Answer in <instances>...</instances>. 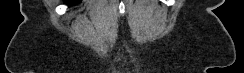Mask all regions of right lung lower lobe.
Masks as SVG:
<instances>
[{"mask_svg":"<svg viewBox=\"0 0 244 73\" xmlns=\"http://www.w3.org/2000/svg\"><path fill=\"white\" fill-rule=\"evenodd\" d=\"M81 0H67V2L71 5L79 3Z\"/></svg>","mask_w":244,"mask_h":73,"instance_id":"1","label":"right lung lower lobe"}]
</instances>
